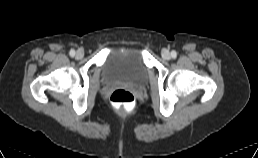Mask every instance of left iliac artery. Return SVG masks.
Listing matches in <instances>:
<instances>
[{"instance_id":"left-iliac-artery-1","label":"left iliac artery","mask_w":258,"mask_h":158,"mask_svg":"<svg viewBox=\"0 0 258 158\" xmlns=\"http://www.w3.org/2000/svg\"><path fill=\"white\" fill-rule=\"evenodd\" d=\"M171 56H172L173 58H176L177 52L173 50V51L171 52Z\"/></svg>"}]
</instances>
